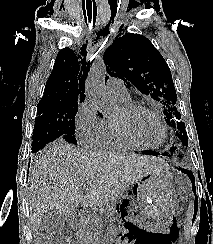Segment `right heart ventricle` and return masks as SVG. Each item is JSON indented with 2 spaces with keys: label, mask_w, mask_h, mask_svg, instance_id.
<instances>
[{
  "label": "right heart ventricle",
  "mask_w": 213,
  "mask_h": 244,
  "mask_svg": "<svg viewBox=\"0 0 213 244\" xmlns=\"http://www.w3.org/2000/svg\"><path fill=\"white\" fill-rule=\"evenodd\" d=\"M123 102V101H122ZM124 105L132 104L131 101L123 102ZM98 145L112 151H130L140 149L125 141L118 133L114 120H105Z\"/></svg>",
  "instance_id": "e07e8e85"
}]
</instances>
